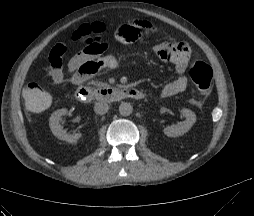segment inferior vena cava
I'll list each match as a JSON object with an SVG mask.
<instances>
[{
  "instance_id": "602c4592",
  "label": "inferior vena cava",
  "mask_w": 254,
  "mask_h": 216,
  "mask_svg": "<svg viewBox=\"0 0 254 216\" xmlns=\"http://www.w3.org/2000/svg\"><path fill=\"white\" fill-rule=\"evenodd\" d=\"M109 110V105L105 102H97L94 106L96 114L104 115Z\"/></svg>"
}]
</instances>
